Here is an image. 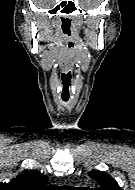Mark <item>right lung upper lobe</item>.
<instances>
[{
    "mask_svg": "<svg viewBox=\"0 0 135 190\" xmlns=\"http://www.w3.org/2000/svg\"><path fill=\"white\" fill-rule=\"evenodd\" d=\"M48 178L38 171L31 174L23 173L9 183L8 187L13 190H46ZM6 187V186H5Z\"/></svg>",
    "mask_w": 135,
    "mask_h": 190,
    "instance_id": "right-lung-upper-lobe-1",
    "label": "right lung upper lobe"
}]
</instances>
